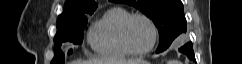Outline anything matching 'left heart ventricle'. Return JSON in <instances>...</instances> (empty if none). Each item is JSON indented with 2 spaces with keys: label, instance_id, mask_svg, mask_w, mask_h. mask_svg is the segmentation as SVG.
Listing matches in <instances>:
<instances>
[{
  "label": "left heart ventricle",
  "instance_id": "1",
  "mask_svg": "<svg viewBox=\"0 0 242 64\" xmlns=\"http://www.w3.org/2000/svg\"><path fill=\"white\" fill-rule=\"evenodd\" d=\"M128 39L135 50L147 49L153 40L151 27L142 18L133 19L128 28Z\"/></svg>",
  "mask_w": 242,
  "mask_h": 64
}]
</instances>
